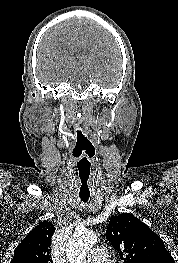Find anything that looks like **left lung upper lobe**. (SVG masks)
Returning <instances> with one entry per match:
<instances>
[{
	"label": "left lung upper lobe",
	"mask_w": 178,
	"mask_h": 263,
	"mask_svg": "<svg viewBox=\"0 0 178 263\" xmlns=\"http://www.w3.org/2000/svg\"><path fill=\"white\" fill-rule=\"evenodd\" d=\"M106 238L123 263H174L163 240L130 213L111 217Z\"/></svg>",
	"instance_id": "5c2ea615"
}]
</instances>
